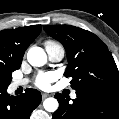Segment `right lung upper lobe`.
<instances>
[{
	"label": "right lung upper lobe",
	"mask_w": 119,
	"mask_h": 119,
	"mask_svg": "<svg viewBox=\"0 0 119 119\" xmlns=\"http://www.w3.org/2000/svg\"><path fill=\"white\" fill-rule=\"evenodd\" d=\"M41 25L0 31V72L20 68L24 52L41 31Z\"/></svg>",
	"instance_id": "1"
}]
</instances>
